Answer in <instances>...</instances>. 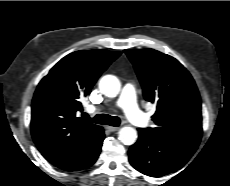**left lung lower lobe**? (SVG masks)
Here are the masks:
<instances>
[{
    "label": "left lung lower lobe",
    "mask_w": 230,
    "mask_h": 186,
    "mask_svg": "<svg viewBox=\"0 0 230 186\" xmlns=\"http://www.w3.org/2000/svg\"><path fill=\"white\" fill-rule=\"evenodd\" d=\"M139 140L129 149L130 164L139 172L160 177L180 169L198 145L156 136L141 128Z\"/></svg>",
    "instance_id": "obj_1"
}]
</instances>
